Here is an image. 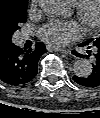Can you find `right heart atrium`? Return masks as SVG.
<instances>
[{"mask_svg":"<svg viewBox=\"0 0 100 118\" xmlns=\"http://www.w3.org/2000/svg\"><path fill=\"white\" fill-rule=\"evenodd\" d=\"M39 0H31V8L35 9L37 7Z\"/></svg>","mask_w":100,"mask_h":118,"instance_id":"d8ad5b80","label":"right heart atrium"}]
</instances>
